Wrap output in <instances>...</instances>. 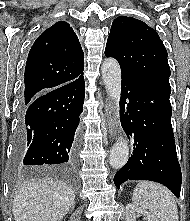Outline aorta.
Wrapping results in <instances>:
<instances>
[{"label":"aorta","instance_id":"obj_1","mask_svg":"<svg viewBox=\"0 0 190 221\" xmlns=\"http://www.w3.org/2000/svg\"><path fill=\"white\" fill-rule=\"evenodd\" d=\"M101 73L106 91L118 110L121 95V69L119 63L113 58L105 59L101 66ZM128 158V143L124 138H120L112 147L109 163L113 168L120 169L126 164Z\"/></svg>","mask_w":190,"mask_h":221}]
</instances>
